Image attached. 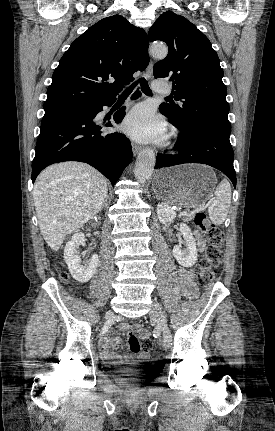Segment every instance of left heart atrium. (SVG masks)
Wrapping results in <instances>:
<instances>
[{
	"instance_id": "39dd6f15",
	"label": "left heart atrium",
	"mask_w": 275,
	"mask_h": 431,
	"mask_svg": "<svg viewBox=\"0 0 275 431\" xmlns=\"http://www.w3.org/2000/svg\"><path fill=\"white\" fill-rule=\"evenodd\" d=\"M122 128L128 136L139 142H162L166 137V123L147 105L131 110Z\"/></svg>"
}]
</instances>
